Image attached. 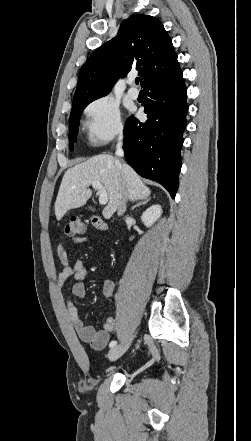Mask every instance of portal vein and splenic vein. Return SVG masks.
Segmentation results:
<instances>
[{"label":"portal vein and splenic vein","instance_id":"obj_1","mask_svg":"<svg viewBox=\"0 0 251 441\" xmlns=\"http://www.w3.org/2000/svg\"><path fill=\"white\" fill-rule=\"evenodd\" d=\"M92 187L98 191L99 194V203L101 205H105L108 202V195L104 187L99 181H95L92 183Z\"/></svg>","mask_w":251,"mask_h":441}]
</instances>
